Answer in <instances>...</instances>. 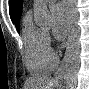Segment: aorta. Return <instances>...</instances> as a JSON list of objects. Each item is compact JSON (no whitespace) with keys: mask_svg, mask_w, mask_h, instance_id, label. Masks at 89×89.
Listing matches in <instances>:
<instances>
[{"mask_svg":"<svg viewBox=\"0 0 89 89\" xmlns=\"http://www.w3.org/2000/svg\"><path fill=\"white\" fill-rule=\"evenodd\" d=\"M71 6V32L66 52V70L64 74V89H76L77 75L80 67L81 53V29L78 25L79 13L77 0H70ZM35 23L41 27L51 25V15L45 0H35L34 2Z\"/></svg>","mask_w":89,"mask_h":89,"instance_id":"762f6f07","label":"aorta"}]
</instances>
